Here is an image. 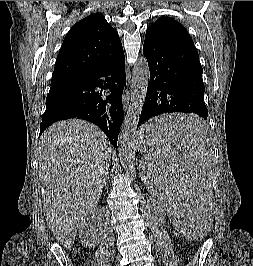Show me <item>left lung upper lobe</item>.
Here are the masks:
<instances>
[{"instance_id": "left-lung-upper-lobe-1", "label": "left lung upper lobe", "mask_w": 253, "mask_h": 266, "mask_svg": "<svg viewBox=\"0 0 253 266\" xmlns=\"http://www.w3.org/2000/svg\"><path fill=\"white\" fill-rule=\"evenodd\" d=\"M152 32L161 33L172 37H178L193 43L192 38L190 37L184 26L169 17L163 16L157 19L155 23L147 29L146 34Z\"/></svg>"}]
</instances>
